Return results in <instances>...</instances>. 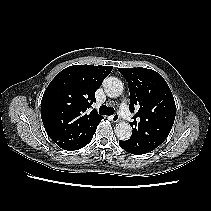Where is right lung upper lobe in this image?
Instances as JSON below:
<instances>
[{
  "mask_svg": "<svg viewBox=\"0 0 211 211\" xmlns=\"http://www.w3.org/2000/svg\"><path fill=\"white\" fill-rule=\"evenodd\" d=\"M111 71V66L73 65L48 85L41 101V118L48 136L62 149L78 150L95 133L103 117L88 109Z\"/></svg>",
  "mask_w": 211,
  "mask_h": 211,
  "instance_id": "right-lung-upper-lobe-1",
  "label": "right lung upper lobe"
}]
</instances>
